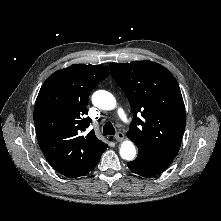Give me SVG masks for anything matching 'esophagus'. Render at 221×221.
I'll return each instance as SVG.
<instances>
[{
    "label": "esophagus",
    "mask_w": 221,
    "mask_h": 221,
    "mask_svg": "<svg viewBox=\"0 0 221 221\" xmlns=\"http://www.w3.org/2000/svg\"><path fill=\"white\" fill-rule=\"evenodd\" d=\"M116 141H122L124 139V134L122 132H118L115 136H114Z\"/></svg>",
    "instance_id": "34e87169"
}]
</instances>
